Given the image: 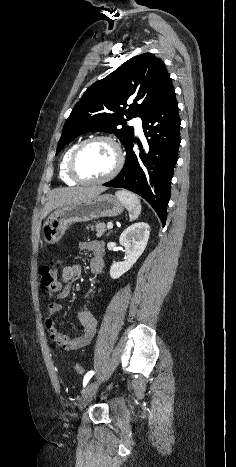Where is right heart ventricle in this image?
Returning <instances> with one entry per match:
<instances>
[{
    "instance_id": "e07e8e85",
    "label": "right heart ventricle",
    "mask_w": 236,
    "mask_h": 467,
    "mask_svg": "<svg viewBox=\"0 0 236 467\" xmlns=\"http://www.w3.org/2000/svg\"><path fill=\"white\" fill-rule=\"evenodd\" d=\"M78 145L79 144H74V145L70 146L66 150V152L63 154L62 159H61L60 164H59V176H60V179L64 183H66L68 185H75L77 183L68 174V162H69V159H70V156H71L72 152L74 151V149Z\"/></svg>"
}]
</instances>
